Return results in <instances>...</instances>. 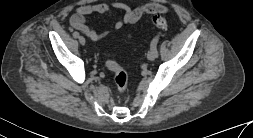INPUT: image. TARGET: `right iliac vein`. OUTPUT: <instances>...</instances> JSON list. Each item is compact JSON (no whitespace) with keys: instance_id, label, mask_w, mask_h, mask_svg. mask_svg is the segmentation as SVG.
Returning <instances> with one entry per match:
<instances>
[{"instance_id":"63e3f726","label":"right iliac vein","mask_w":253,"mask_h":138,"mask_svg":"<svg viewBox=\"0 0 253 138\" xmlns=\"http://www.w3.org/2000/svg\"><path fill=\"white\" fill-rule=\"evenodd\" d=\"M79 42L81 45H85V38L83 36L79 37Z\"/></svg>"}]
</instances>
